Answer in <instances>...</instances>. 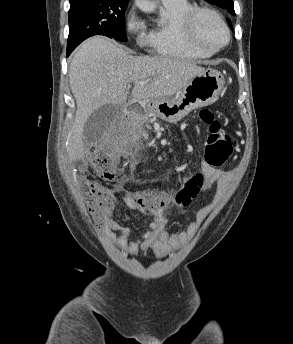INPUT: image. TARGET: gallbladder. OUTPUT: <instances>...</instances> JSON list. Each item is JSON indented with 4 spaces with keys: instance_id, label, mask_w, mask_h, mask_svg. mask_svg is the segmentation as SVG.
I'll list each match as a JSON object with an SVG mask.
<instances>
[{
    "instance_id": "bac80fb5",
    "label": "gallbladder",
    "mask_w": 293,
    "mask_h": 344,
    "mask_svg": "<svg viewBox=\"0 0 293 344\" xmlns=\"http://www.w3.org/2000/svg\"><path fill=\"white\" fill-rule=\"evenodd\" d=\"M119 107L106 104L96 109L87 119L83 129L85 146L97 144L105 131L114 123L118 116Z\"/></svg>"
}]
</instances>
